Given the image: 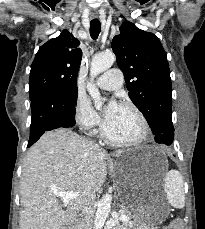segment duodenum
Returning a JSON list of instances; mask_svg holds the SVG:
<instances>
[{"label": "duodenum", "mask_w": 205, "mask_h": 229, "mask_svg": "<svg viewBox=\"0 0 205 229\" xmlns=\"http://www.w3.org/2000/svg\"><path fill=\"white\" fill-rule=\"evenodd\" d=\"M64 229H79V223H76V224L69 226L67 228H64Z\"/></svg>", "instance_id": "1"}]
</instances>
